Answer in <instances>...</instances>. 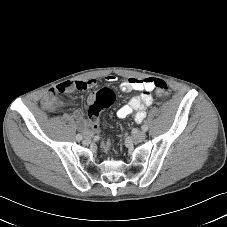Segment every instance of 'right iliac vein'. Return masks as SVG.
<instances>
[{
  "label": "right iliac vein",
  "instance_id": "1",
  "mask_svg": "<svg viewBox=\"0 0 227 227\" xmlns=\"http://www.w3.org/2000/svg\"><path fill=\"white\" fill-rule=\"evenodd\" d=\"M91 137H92V133L89 132V131H87V132L85 133V138H86V139H91Z\"/></svg>",
  "mask_w": 227,
  "mask_h": 227
}]
</instances>
